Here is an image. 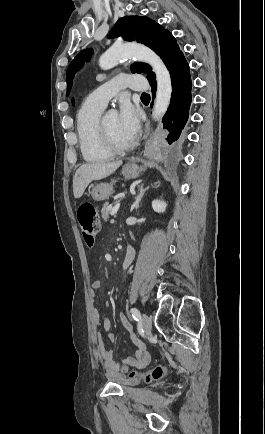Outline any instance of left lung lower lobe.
<instances>
[{"label":"left lung lower lobe","instance_id":"0a47b994","mask_svg":"<svg viewBox=\"0 0 265 434\" xmlns=\"http://www.w3.org/2000/svg\"><path fill=\"white\" fill-rule=\"evenodd\" d=\"M172 81V96L169 108L163 117L164 128L169 131L167 143L160 142V147L167 151H176L187 142L188 128L186 123L189 118L191 104L192 82L189 64L183 54H180L170 68ZM156 85L152 86L153 98Z\"/></svg>","mask_w":265,"mask_h":434}]
</instances>
